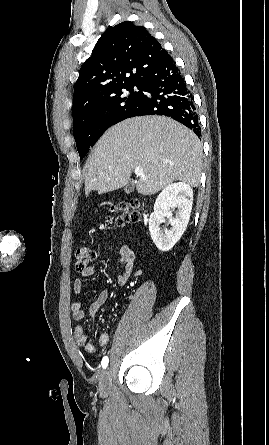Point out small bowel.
<instances>
[{
	"mask_svg": "<svg viewBox=\"0 0 269 445\" xmlns=\"http://www.w3.org/2000/svg\"><path fill=\"white\" fill-rule=\"evenodd\" d=\"M106 252L114 251L113 245L109 244L106 247ZM120 263L123 266V272L117 276V283L120 286L125 285L135 267L136 256L133 249L128 243H121L119 247ZM96 272L95 267L89 266L81 272L83 277H90ZM73 291L76 294H81L83 291V283L80 278H76L73 282ZM109 293L103 290L99 293L96 300L89 307V316L93 320L98 310L108 301ZM72 317L74 321H81L85 317V310L83 304L80 301H74L71 305ZM74 337L77 345L83 347L87 353H95L97 350V345L88 341L87 335L85 333L84 327L80 324L76 325L74 328ZM109 341V334L104 331L100 334L98 344L104 346Z\"/></svg>",
	"mask_w": 269,
	"mask_h": 445,
	"instance_id": "obj_1",
	"label": "small bowel"
}]
</instances>
